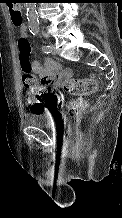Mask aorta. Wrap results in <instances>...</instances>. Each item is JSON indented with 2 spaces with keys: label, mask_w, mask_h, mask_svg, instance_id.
Wrapping results in <instances>:
<instances>
[{
  "label": "aorta",
  "mask_w": 122,
  "mask_h": 218,
  "mask_svg": "<svg viewBox=\"0 0 122 218\" xmlns=\"http://www.w3.org/2000/svg\"><path fill=\"white\" fill-rule=\"evenodd\" d=\"M27 20L29 29L32 31H37L39 22H38V14L36 10V3H27Z\"/></svg>",
  "instance_id": "1"
}]
</instances>
